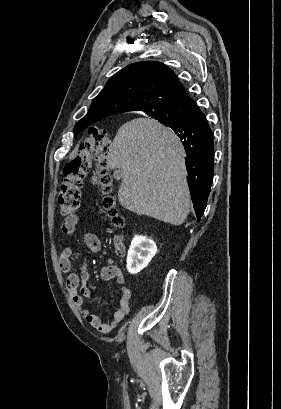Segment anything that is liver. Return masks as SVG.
Here are the masks:
<instances>
[{"label":"liver","mask_w":281,"mask_h":409,"mask_svg":"<svg viewBox=\"0 0 281 409\" xmlns=\"http://www.w3.org/2000/svg\"><path fill=\"white\" fill-rule=\"evenodd\" d=\"M121 168L120 205L170 225L189 215L190 190L183 146L176 134L154 118H133L120 126L106 156Z\"/></svg>","instance_id":"6515ba94"}]
</instances>
